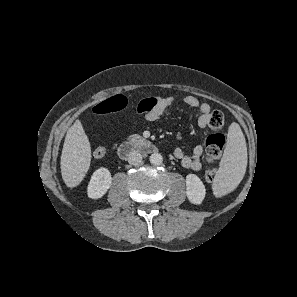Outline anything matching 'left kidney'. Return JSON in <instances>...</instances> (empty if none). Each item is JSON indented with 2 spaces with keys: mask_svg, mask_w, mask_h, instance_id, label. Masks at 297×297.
Instances as JSON below:
<instances>
[{
  "mask_svg": "<svg viewBox=\"0 0 297 297\" xmlns=\"http://www.w3.org/2000/svg\"><path fill=\"white\" fill-rule=\"evenodd\" d=\"M206 189L201 179L195 174L186 176V195L193 204H201L205 198Z\"/></svg>",
  "mask_w": 297,
  "mask_h": 297,
  "instance_id": "1",
  "label": "left kidney"
}]
</instances>
